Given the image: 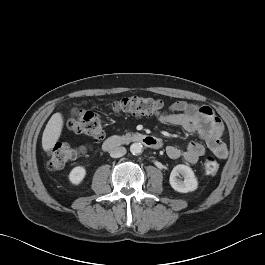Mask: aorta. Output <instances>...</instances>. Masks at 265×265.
I'll return each instance as SVG.
<instances>
[{"mask_svg": "<svg viewBox=\"0 0 265 265\" xmlns=\"http://www.w3.org/2000/svg\"><path fill=\"white\" fill-rule=\"evenodd\" d=\"M143 151V146L141 143H133L131 144L130 146V152L133 154V155H138V154H141Z\"/></svg>", "mask_w": 265, "mask_h": 265, "instance_id": "aorta-1", "label": "aorta"}]
</instances>
